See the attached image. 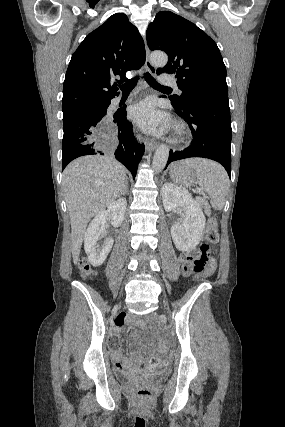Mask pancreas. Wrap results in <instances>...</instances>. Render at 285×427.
<instances>
[{"label": "pancreas", "mask_w": 285, "mask_h": 427, "mask_svg": "<svg viewBox=\"0 0 285 427\" xmlns=\"http://www.w3.org/2000/svg\"><path fill=\"white\" fill-rule=\"evenodd\" d=\"M197 202L205 210L206 213H211L210 207L205 199L198 198Z\"/></svg>", "instance_id": "obj_1"}]
</instances>
